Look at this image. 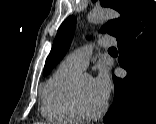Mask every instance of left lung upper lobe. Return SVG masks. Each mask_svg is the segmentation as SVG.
<instances>
[{"mask_svg":"<svg viewBox=\"0 0 156 124\" xmlns=\"http://www.w3.org/2000/svg\"><path fill=\"white\" fill-rule=\"evenodd\" d=\"M95 0H93L94 2ZM148 0H100L104 7H111L120 12L121 17L109 21L101 29L102 32L117 37L126 31L136 20ZM76 24L75 16L68 17L59 27L51 52L47 57L43 70L44 76L58 64L70 47Z\"/></svg>","mask_w":156,"mask_h":124,"instance_id":"5c2ea615","label":"left lung upper lobe"}]
</instances>
